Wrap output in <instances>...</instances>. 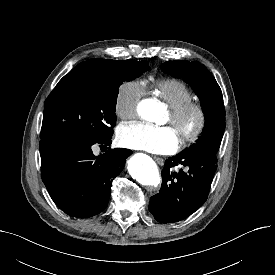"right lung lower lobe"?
<instances>
[{"instance_id": "obj_1", "label": "right lung lower lobe", "mask_w": 275, "mask_h": 275, "mask_svg": "<svg viewBox=\"0 0 275 275\" xmlns=\"http://www.w3.org/2000/svg\"><path fill=\"white\" fill-rule=\"evenodd\" d=\"M110 145L111 138L69 143L40 151L41 177L54 203L66 214L86 218L102 212L114 178L125 167L129 149L115 148L95 156L92 146Z\"/></svg>"}]
</instances>
